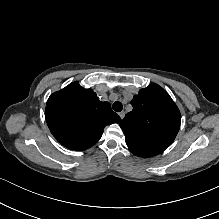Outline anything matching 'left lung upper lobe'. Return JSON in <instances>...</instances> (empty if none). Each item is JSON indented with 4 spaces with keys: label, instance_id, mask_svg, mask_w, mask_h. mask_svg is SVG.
I'll list each match as a JSON object with an SVG mask.
<instances>
[{
    "label": "left lung upper lobe",
    "instance_id": "obj_1",
    "mask_svg": "<svg viewBox=\"0 0 219 219\" xmlns=\"http://www.w3.org/2000/svg\"><path fill=\"white\" fill-rule=\"evenodd\" d=\"M133 110L120 126L129 150L139 157H152L163 152L174 141L181 114L170 95L159 85L141 89L131 101Z\"/></svg>",
    "mask_w": 219,
    "mask_h": 219
}]
</instances>
